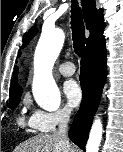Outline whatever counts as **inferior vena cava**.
<instances>
[{
  "mask_svg": "<svg viewBox=\"0 0 123 152\" xmlns=\"http://www.w3.org/2000/svg\"><path fill=\"white\" fill-rule=\"evenodd\" d=\"M70 119L69 111H61L59 113V124L58 130L55 132V135L62 138L65 142H69L68 138V123Z\"/></svg>",
  "mask_w": 123,
  "mask_h": 152,
  "instance_id": "1",
  "label": "inferior vena cava"
}]
</instances>
